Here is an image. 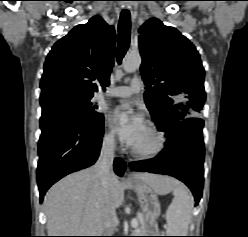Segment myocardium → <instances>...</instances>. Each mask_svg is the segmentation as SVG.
<instances>
[{
	"instance_id": "obj_1",
	"label": "myocardium",
	"mask_w": 248,
	"mask_h": 237,
	"mask_svg": "<svg viewBox=\"0 0 248 237\" xmlns=\"http://www.w3.org/2000/svg\"><path fill=\"white\" fill-rule=\"evenodd\" d=\"M153 135L155 139V144L151 149L148 150H138L132 148V154L140 159H152L160 155L165 149V138L159 128L154 124H148L146 127Z\"/></svg>"
}]
</instances>
